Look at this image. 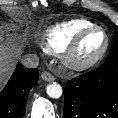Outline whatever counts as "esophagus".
<instances>
[{"mask_svg":"<svg viewBox=\"0 0 118 118\" xmlns=\"http://www.w3.org/2000/svg\"><path fill=\"white\" fill-rule=\"evenodd\" d=\"M41 78L42 80L47 81V82H52L55 79L54 76L50 72H43L41 74Z\"/></svg>","mask_w":118,"mask_h":118,"instance_id":"esophagus-1","label":"esophagus"}]
</instances>
